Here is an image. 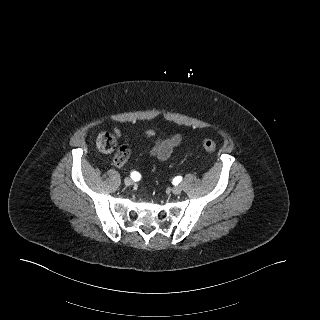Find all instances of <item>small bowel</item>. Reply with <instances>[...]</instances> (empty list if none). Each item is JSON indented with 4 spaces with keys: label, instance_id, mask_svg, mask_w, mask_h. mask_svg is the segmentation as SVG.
<instances>
[{
    "label": "small bowel",
    "instance_id": "obj_1",
    "mask_svg": "<svg viewBox=\"0 0 320 320\" xmlns=\"http://www.w3.org/2000/svg\"><path fill=\"white\" fill-rule=\"evenodd\" d=\"M113 133L117 138L122 137V131L119 127H115L113 129ZM143 134L147 137H154L156 135V130L152 128L147 129ZM183 138L182 134L176 133L171 136L158 139L154 143L150 151V155L160 161L170 160L173 157L175 149L182 145ZM123 148H125L130 154L129 149L126 146H123Z\"/></svg>",
    "mask_w": 320,
    "mask_h": 320
}]
</instances>
